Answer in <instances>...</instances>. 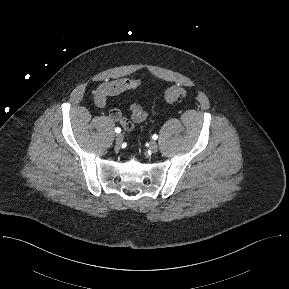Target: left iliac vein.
<instances>
[{
	"mask_svg": "<svg viewBox=\"0 0 289 289\" xmlns=\"http://www.w3.org/2000/svg\"><path fill=\"white\" fill-rule=\"evenodd\" d=\"M149 149L151 152L156 153L158 151V144L155 141L149 143Z\"/></svg>",
	"mask_w": 289,
	"mask_h": 289,
	"instance_id": "left-iliac-vein-1",
	"label": "left iliac vein"
}]
</instances>
